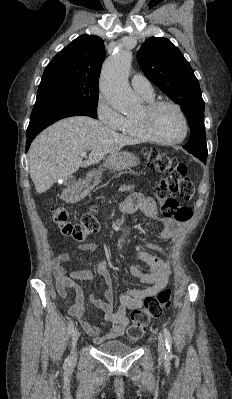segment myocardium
<instances>
[{
  "instance_id": "f54148a6",
  "label": "myocardium",
  "mask_w": 232,
  "mask_h": 399,
  "mask_svg": "<svg viewBox=\"0 0 232 399\" xmlns=\"http://www.w3.org/2000/svg\"><path fill=\"white\" fill-rule=\"evenodd\" d=\"M171 106L175 108L182 118L184 124V133L181 138L177 140H166L158 137L151 128V119L154 113L162 106ZM139 128L142 133L152 142L163 144V145H176L182 143L188 136L189 133V123L183 109L176 103L171 101H154L147 103L143 108V114L136 117Z\"/></svg>"
}]
</instances>
